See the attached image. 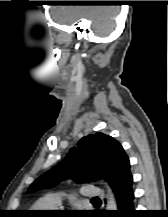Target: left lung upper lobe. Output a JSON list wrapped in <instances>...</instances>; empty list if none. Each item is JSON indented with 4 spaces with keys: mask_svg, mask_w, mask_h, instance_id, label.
<instances>
[{
    "mask_svg": "<svg viewBox=\"0 0 168 217\" xmlns=\"http://www.w3.org/2000/svg\"><path fill=\"white\" fill-rule=\"evenodd\" d=\"M129 163L128 156L117 140L103 133L88 135L71 148L59 164L35 180L28 192L56 185L68 177L78 183L104 177L114 188L124 179Z\"/></svg>",
    "mask_w": 168,
    "mask_h": 217,
    "instance_id": "obj_1",
    "label": "left lung upper lobe"
}]
</instances>
